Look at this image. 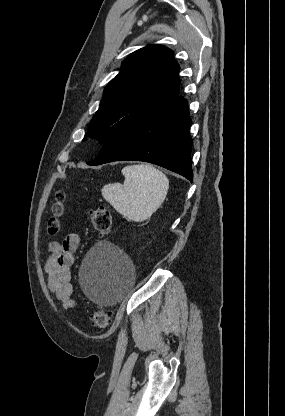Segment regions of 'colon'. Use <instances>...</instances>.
Listing matches in <instances>:
<instances>
[{
  "instance_id": "5ec220e1",
  "label": "colon",
  "mask_w": 285,
  "mask_h": 416,
  "mask_svg": "<svg viewBox=\"0 0 285 416\" xmlns=\"http://www.w3.org/2000/svg\"><path fill=\"white\" fill-rule=\"evenodd\" d=\"M65 212V194L59 191L51 207V217L48 220L47 230L50 235H57L62 228L61 217ZM89 221L92 227L101 235L107 234L112 225L110 211L99 206L90 212ZM113 312L110 309L100 307L90 316L91 324L98 330L106 329L111 323Z\"/></svg>"
}]
</instances>
